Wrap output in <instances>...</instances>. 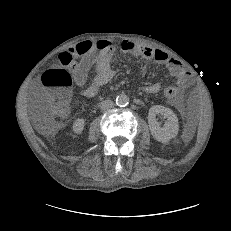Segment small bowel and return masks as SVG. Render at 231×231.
<instances>
[{
  "instance_id": "obj_1",
  "label": "small bowel",
  "mask_w": 231,
  "mask_h": 231,
  "mask_svg": "<svg viewBox=\"0 0 231 231\" xmlns=\"http://www.w3.org/2000/svg\"><path fill=\"white\" fill-rule=\"evenodd\" d=\"M117 49L125 54L153 60L166 66L170 74L176 77V86L179 90L186 89L192 83L191 75L180 61L170 57L163 50L140 45L130 40H122L119 43L106 39L93 43L81 42L62 53L61 55L64 57L60 61L62 65L72 70L75 84L79 87L86 85L90 68L94 63L97 64L95 77L88 86H85L82 92L86 98H92L98 94L102 86L106 85L114 77L115 71L112 69L111 60ZM75 57H79L80 60L76 61ZM159 90V83L148 84L144 87V91L149 94L156 93ZM169 101L172 104L180 102L178 98Z\"/></svg>"
}]
</instances>
